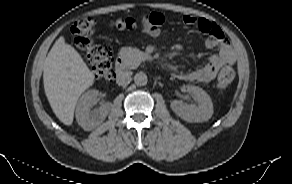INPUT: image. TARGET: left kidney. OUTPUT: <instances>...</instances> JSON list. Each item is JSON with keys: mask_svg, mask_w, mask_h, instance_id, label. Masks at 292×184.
I'll return each instance as SVG.
<instances>
[{"mask_svg": "<svg viewBox=\"0 0 292 184\" xmlns=\"http://www.w3.org/2000/svg\"><path fill=\"white\" fill-rule=\"evenodd\" d=\"M186 89L197 105H187L182 101L173 100L170 105L171 109L187 122L208 121L213 114V103L210 96L197 86L187 85Z\"/></svg>", "mask_w": 292, "mask_h": 184, "instance_id": "left-kidney-1", "label": "left kidney"}]
</instances>
